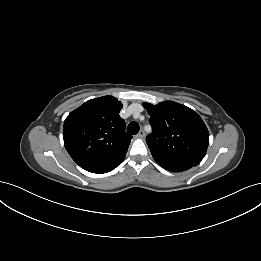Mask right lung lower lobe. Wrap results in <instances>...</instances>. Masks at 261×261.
<instances>
[{"instance_id":"98d812e1","label":"right lung lower lobe","mask_w":261,"mask_h":261,"mask_svg":"<svg viewBox=\"0 0 261 261\" xmlns=\"http://www.w3.org/2000/svg\"><path fill=\"white\" fill-rule=\"evenodd\" d=\"M125 157V156H124ZM124 157L112 160V161H91L79 164V166L89 172L102 174L107 173L115 169L118 165H120Z\"/></svg>"}]
</instances>
